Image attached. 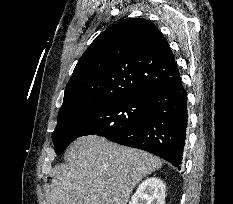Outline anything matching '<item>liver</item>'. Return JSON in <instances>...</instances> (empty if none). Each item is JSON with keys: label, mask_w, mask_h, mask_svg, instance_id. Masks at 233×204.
Returning a JSON list of instances; mask_svg holds the SVG:
<instances>
[{"label": "liver", "mask_w": 233, "mask_h": 204, "mask_svg": "<svg viewBox=\"0 0 233 204\" xmlns=\"http://www.w3.org/2000/svg\"><path fill=\"white\" fill-rule=\"evenodd\" d=\"M69 169L52 179L47 204H127L134 187L162 167L156 156L88 135L66 152Z\"/></svg>", "instance_id": "liver-1"}]
</instances>
